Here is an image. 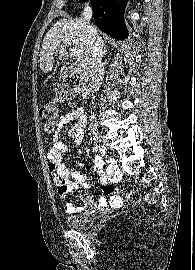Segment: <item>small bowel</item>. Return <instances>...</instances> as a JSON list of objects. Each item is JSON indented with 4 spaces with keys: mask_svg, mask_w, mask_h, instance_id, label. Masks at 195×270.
Returning a JSON list of instances; mask_svg holds the SVG:
<instances>
[{
    "mask_svg": "<svg viewBox=\"0 0 195 270\" xmlns=\"http://www.w3.org/2000/svg\"><path fill=\"white\" fill-rule=\"evenodd\" d=\"M75 122L68 130V136L73 139L77 145L78 154H82V143L85 138V128L87 124V117L83 108H75L66 114H64L56 126V131L52 135L51 142L52 148L47 153L48 170L52 175L53 184L57 188V192L61 198H66L67 195L78 189L80 186L85 188L89 187L87 178L80 172L83 166L81 161H76L70 168H67L64 164V156L68 151V146L59 140L60 131L68 126L71 122ZM100 160L97 159L95 166H99ZM109 174L112 180H116L119 177V171L114 161L109 165ZM110 178L106 176L101 177V181L104 185V192L108 197L100 198V205H109L112 208H119L123 204L121 196L117 195L116 187L110 183ZM81 201L84 205H90L92 199L90 195L83 194ZM67 213H77L82 210L81 207H76L71 203L65 205Z\"/></svg>",
    "mask_w": 195,
    "mask_h": 270,
    "instance_id": "1",
    "label": "small bowel"
}]
</instances>
